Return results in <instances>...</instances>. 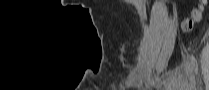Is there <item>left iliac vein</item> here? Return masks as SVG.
<instances>
[{
	"label": "left iliac vein",
	"instance_id": "obj_1",
	"mask_svg": "<svg viewBox=\"0 0 209 90\" xmlns=\"http://www.w3.org/2000/svg\"><path fill=\"white\" fill-rule=\"evenodd\" d=\"M188 72H189V79L191 82V86H195V78L194 75L191 73L190 68H188Z\"/></svg>",
	"mask_w": 209,
	"mask_h": 90
}]
</instances>
